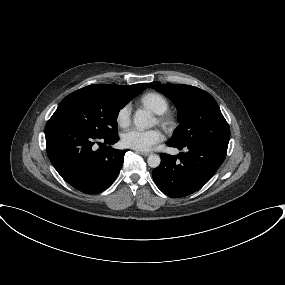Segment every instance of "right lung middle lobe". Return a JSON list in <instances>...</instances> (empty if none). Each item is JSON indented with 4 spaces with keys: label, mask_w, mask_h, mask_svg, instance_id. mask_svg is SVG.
I'll use <instances>...</instances> for the list:
<instances>
[{
    "label": "right lung middle lobe",
    "mask_w": 285,
    "mask_h": 285,
    "mask_svg": "<svg viewBox=\"0 0 285 285\" xmlns=\"http://www.w3.org/2000/svg\"><path fill=\"white\" fill-rule=\"evenodd\" d=\"M130 100L106 90L84 87L66 96L52 117L68 120L97 137L113 136L117 134L118 112Z\"/></svg>",
    "instance_id": "dd1d6c3e"
}]
</instances>
